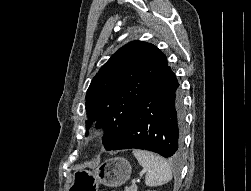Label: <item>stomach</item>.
<instances>
[{
	"label": "stomach",
	"instance_id": "obj_1",
	"mask_svg": "<svg viewBox=\"0 0 251 191\" xmlns=\"http://www.w3.org/2000/svg\"><path fill=\"white\" fill-rule=\"evenodd\" d=\"M132 173L130 161L125 157H110L93 171L77 169L73 173L71 191H98L99 183L117 187L129 179Z\"/></svg>",
	"mask_w": 251,
	"mask_h": 191
}]
</instances>
